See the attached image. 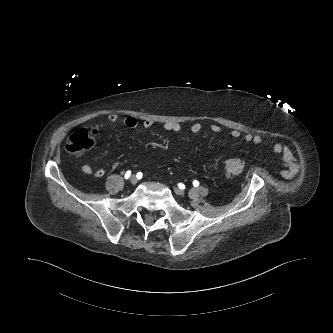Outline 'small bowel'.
<instances>
[{
    "label": "small bowel",
    "mask_w": 333,
    "mask_h": 333,
    "mask_svg": "<svg viewBox=\"0 0 333 333\" xmlns=\"http://www.w3.org/2000/svg\"><path fill=\"white\" fill-rule=\"evenodd\" d=\"M108 121L113 124L117 123L119 121V116L117 114H111L108 117ZM139 123H140L139 120L134 116L127 117L123 120V124L125 125V127L129 129L137 127ZM141 125L144 129H150L153 126V122L149 119H146L141 122ZM163 128L167 132L177 133L181 130V125L176 122H167L163 125ZM201 129H202L201 123L194 122L190 127V132L192 134H197L201 131ZM210 129L215 134H218L222 131V128L217 124H213L210 127ZM231 136L233 138H239L241 136V132L237 129H234L231 131ZM244 140L246 142H251L256 145H260L263 143V139L259 135H253L250 133L244 135ZM272 149L276 154L281 156V159L285 166L283 170L284 175L289 176L295 174L296 171L298 170V164H297V159L293 154V152L291 151V149L287 145L282 143H275ZM81 170L85 174L93 176L95 178H101L105 175V170L103 168L94 169L91 165L85 162L81 164Z\"/></svg>",
    "instance_id": "obj_1"
}]
</instances>
